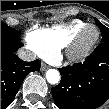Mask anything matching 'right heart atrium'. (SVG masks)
Masks as SVG:
<instances>
[{"mask_svg":"<svg viewBox=\"0 0 109 109\" xmlns=\"http://www.w3.org/2000/svg\"><path fill=\"white\" fill-rule=\"evenodd\" d=\"M27 42V46L28 48L36 55V56H39V57H44V50L39 46L37 45L35 42L33 41H30V40H26Z\"/></svg>","mask_w":109,"mask_h":109,"instance_id":"right-heart-atrium-1","label":"right heart atrium"}]
</instances>
